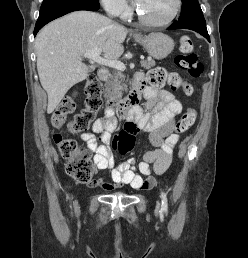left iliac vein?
Listing matches in <instances>:
<instances>
[{"label": "left iliac vein", "instance_id": "obj_1", "mask_svg": "<svg viewBox=\"0 0 248 258\" xmlns=\"http://www.w3.org/2000/svg\"><path fill=\"white\" fill-rule=\"evenodd\" d=\"M159 209H160V202H159V201H157L156 210H157V211H159Z\"/></svg>", "mask_w": 248, "mask_h": 258}]
</instances>
